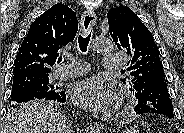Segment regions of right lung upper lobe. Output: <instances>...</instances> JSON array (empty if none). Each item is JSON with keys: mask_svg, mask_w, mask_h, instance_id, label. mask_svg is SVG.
<instances>
[{"mask_svg": "<svg viewBox=\"0 0 184 133\" xmlns=\"http://www.w3.org/2000/svg\"><path fill=\"white\" fill-rule=\"evenodd\" d=\"M78 30L76 14L58 3L30 26L16 56L13 74L49 75L58 52L72 42Z\"/></svg>", "mask_w": 184, "mask_h": 133, "instance_id": "right-lung-upper-lobe-1", "label": "right lung upper lobe"}]
</instances>
